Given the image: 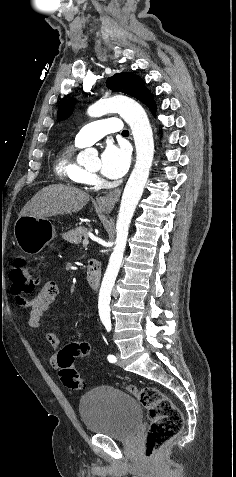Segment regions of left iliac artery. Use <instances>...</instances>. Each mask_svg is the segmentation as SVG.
Wrapping results in <instances>:
<instances>
[{
    "instance_id": "left-iliac-artery-1",
    "label": "left iliac artery",
    "mask_w": 236,
    "mask_h": 477,
    "mask_svg": "<svg viewBox=\"0 0 236 477\" xmlns=\"http://www.w3.org/2000/svg\"><path fill=\"white\" fill-rule=\"evenodd\" d=\"M104 325H105L107 331L109 332L111 330V323L110 322H104ZM107 359L110 363H115L117 361V358L114 355H108Z\"/></svg>"
}]
</instances>
